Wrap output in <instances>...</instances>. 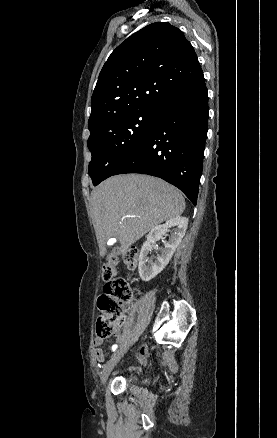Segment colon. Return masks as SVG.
I'll return each instance as SVG.
<instances>
[{
    "label": "colon",
    "instance_id": "5ec220e1",
    "mask_svg": "<svg viewBox=\"0 0 277 438\" xmlns=\"http://www.w3.org/2000/svg\"><path fill=\"white\" fill-rule=\"evenodd\" d=\"M140 256L139 248H128L119 255L114 253L107 257L101 265L100 272L103 281L108 283V287H99V296L95 299V305L99 306L100 320L94 323V341L102 342L103 338L111 335L124 322V305L132 298V291L126 282L117 277L116 266L119 261H127L130 269L136 267L137 262L134 257ZM108 294V295H107ZM107 295V296H105Z\"/></svg>",
    "mask_w": 277,
    "mask_h": 438
}]
</instances>
